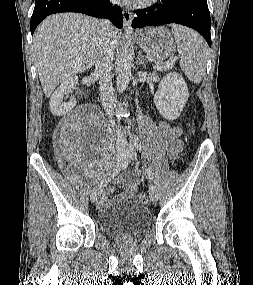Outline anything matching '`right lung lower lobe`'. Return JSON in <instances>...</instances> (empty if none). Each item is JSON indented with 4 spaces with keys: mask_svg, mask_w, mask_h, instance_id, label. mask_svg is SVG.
I'll return each mask as SVG.
<instances>
[{
    "mask_svg": "<svg viewBox=\"0 0 253 285\" xmlns=\"http://www.w3.org/2000/svg\"><path fill=\"white\" fill-rule=\"evenodd\" d=\"M60 12H79L98 18L110 19L115 26H123L122 11L112 7L109 0H35L30 28L33 35L37 25L48 15Z\"/></svg>",
    "mask_w": 253,
    "mask_h": 285,
    "instance_id": "obj_1",
    "label": "right lung lower lobe"
}]
</instances>
